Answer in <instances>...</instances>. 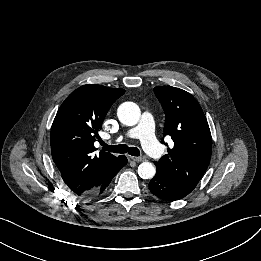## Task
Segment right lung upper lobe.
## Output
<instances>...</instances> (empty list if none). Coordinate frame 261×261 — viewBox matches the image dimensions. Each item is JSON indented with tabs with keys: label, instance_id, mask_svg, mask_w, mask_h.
<instances>
[{
	"label": "right lung upper lobe",
	"instance_id": "right-lung-upper-lobe-1",
	"mask_svg": "<svg viewBox=\"0 0 261 261\" xmlns=\"http://www.w3.org/2000/svg\"><path fill=\"white\" fill-rule=\"evenodd\" d=\"M96 84L73 91L60 106L50 133L52 158L62 179L77 196L85 198L101 185L118 157L96 150L94 142L111 105L124 94Z\"/></svg>",
	"mask_w": 261,
	"mask_h": 261
}]
</instances>
